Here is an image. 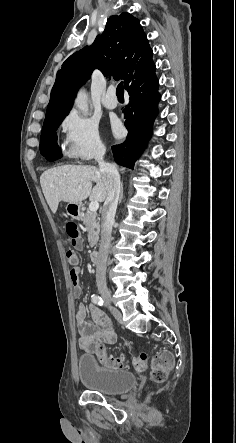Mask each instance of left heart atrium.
I'll list each match as a JSON object with an SVG mask.
<instances>
[{
	"label": "left heart atrium",
	"mask_w": 236,
	"mask_h": 443,
	"mask_svg": "<svg viewBox=\"0 0 236 443\" xmlns=\"http://www.w3.org/2000/svg\"><path fill=\"white\" fill-rule=\"evenodd\" d=\"M112 130H113V132H114L115 134H119V133H120V131H121V126H120V124H119L118 121H116V120H113V121H112Z\"/></svg>",
	"instance_id": "left-heart-atrium-1"
}]
</instances>
